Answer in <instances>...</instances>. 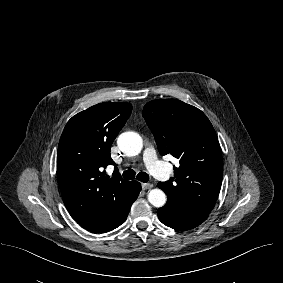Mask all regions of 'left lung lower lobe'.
<instances>
[{"instance_id": "0a47b994", "label": "left lung lower lobe", "mask_w": 283, "mask_h": 283, "mask_svg": "<svg viewBox=\"0 0 283 283\" xmlns=\"http://www.w3.org/2000/svg\"><path fill=\"white\" fill-rule=\"evenodd\" d=\"M157 186L162 189L159 185ZM157 213L163 224L179 231H186L197 227L209 215L192 210L176 199H168L167 203L159 208Z\"/></svg>"}]
</instances>
